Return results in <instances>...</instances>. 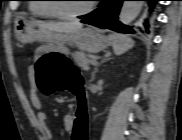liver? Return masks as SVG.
I'll return each instance as SVG.
<instances>
[{
	"label": "liver",
	"instance_id": "6515ba94",
	"mask_svg": "<svg viewBox=\"0 0 182 140\" xmlns=\"http://www.w3.org/2000/svg\"><path fill=\"white\" fill-rule=\"evenodd\" d=\"M37 23L42 30H44L46 34V40L49 39V33H73L82 28V23L79 21H72V22H40L34 21Z\"/></svg>",
	"mask_w": 182,
	"mask_h": 140
}]
</instances>
